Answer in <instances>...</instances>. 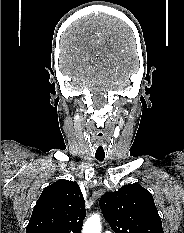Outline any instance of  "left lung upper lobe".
I'll return each mask as SVG.
<instances>
[{
  "label": "left lung upper lobe",
  "instance_id": "left-lung-upper-lobe-1",
  "mask_svg": "<svg viewBox=\"0 0 184 233\" xmlns=\"http://www.w3.org/2000/svg\"><path fill=\"white\" fill-rule=\"evenodd\" d=\"M99 205L115 233H163L153 196L138 183L105 193Z\"/></svg>",
  "mask_w": 184,
  "mask_h": 233
}]
</instances>
